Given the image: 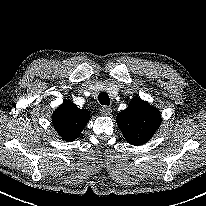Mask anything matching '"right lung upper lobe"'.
<instances>
[{
  "label": "right lung upper lobe",
  "mask_w": 206,
  "mask_h": 206,
  "mask_svg": "<svg viewBox=\"0 0 206 206\" xmlns=\"http://www.w3.org/2000/svg\"><path fill=\"white\" fill-rule=\"evenodd\" d=\"M90 112L79 109L68 101L58 107L52 115V123L61 138L67 142L74 141L90 120Z\"/></svg>",
  "instance_id": "obj_1"
}]
</instances>
